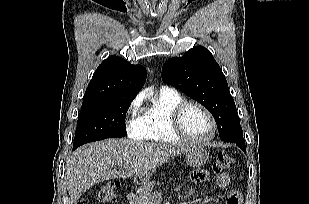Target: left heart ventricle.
Segmentation results:
<instances>
[{
    "label": "left heart ventricle",
    "mask_w": 309,
    "mask_h": 204,
    "mask_svg": "<svg viewBox=\"0 0 309 204\" xmlns=\"http://www.w3.org/2000/svg\"><path fill=\"white\" fill-rule=\"evenodd\" d=\"M182 124L184 129L194 138L205 139L211 133V124L202 110L189 106L183 113Z\"/></svg>",
    "instance_id": "left-heart-ventricle-1"
}]
</instances>
